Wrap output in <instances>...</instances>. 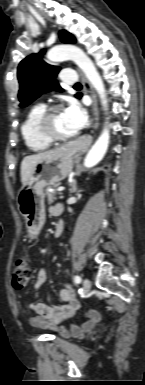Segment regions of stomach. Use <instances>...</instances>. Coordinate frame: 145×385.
<instances>
[{"mask_svg":"<svg viewBox=\"0 0 145 385\" xmlns=\"http://www.w3.org/2000/svg\"><path fill=\"white\" fill-rule=\"evenodd\" d=\"M73 164L74 153L69 146L56 148L36 164L28 183L18 191V209L26 219L30 239L37 238L45 222L44 188L65 179Z\"/></svg>","mask_w":145,"mask_h":385,"instance_id":"0dacf381","label":"stomach"}]
</instances>
